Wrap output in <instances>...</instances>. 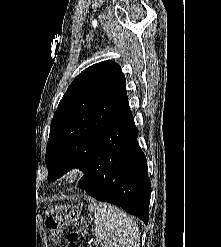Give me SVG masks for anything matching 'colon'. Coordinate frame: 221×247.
Listing matches in <instances>:
<instances>
[{
  "label": "colon",
  "mask_w": 221,
  "mask_h": 247,
  "mask_svg": "<svg viewBox=\"0 0 221 247\" xmlns=\"http://www.w3.org/2000/svg\"><path fill=\"white\" fill-rule=\"evenodd\" d=\"M45 224L50 232L53 247H58L61 235L66 229L71 228L72 232L69 234V240L73 247L79 238V233L85 228L86 221L73 212L70 214L61 213L56 217L48 218Z\"/></svg>",
  "instance_id": "1"
}]
</instances>
